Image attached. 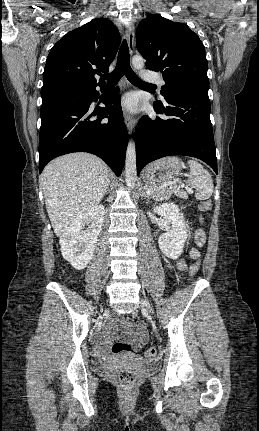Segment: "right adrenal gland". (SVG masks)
<instances>
[{
    "label": "right adrenal gland",
    "instance_id": "obj_1",
    "mask_svg": "<svg viewBox=\"0 0 259 431\" xmlns=\"http://www.w3.org/2000/svg\"><path fill=\"white\" fill-rule=\"evenodd\" d=\"M109 185H110V181H108V184H107V187H106V190H105V192H104L103 197H104V196H105V194L107 193V191H108V189H109Z\"/></svg>",
    "mask_w": 259,
    "mask_h": 431
}]
</instances>
